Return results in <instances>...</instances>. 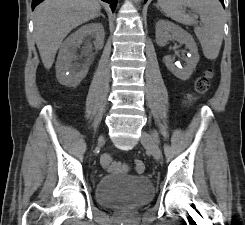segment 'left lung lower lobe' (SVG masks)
<instances>
[{"mask_svg":"<svg viewBox=\"0 0 245 225\" xmlns=\"http://www.w3.org/2000/svg\"><path fill=\"white\" fill-rule=\"evenodd\" d=\"M144 2H147V0H144ZM220 2H221L222 5L224 6V0H220Z\"/></svg>","mask_w":245,"mask_h":225,"instance_id":"obj_1","label":"left lung lower lobe"}]
</instances>
